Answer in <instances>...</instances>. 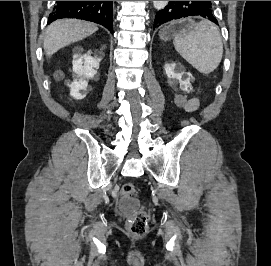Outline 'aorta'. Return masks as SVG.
I'll list each match as a JSON object with an SVG mask.
<instances>
[{
    "label": "aorta",
    "instance_id": "aorta-1",
    "mask_svg": "<svg viewBox=\"0 0 271 266\" xmlns=\"http://www.w3.org/2000/svg\"><path fill=\"white\" fill-rule=\"evenodd\" d=\"M169 1H153V5L157 10L164 9Z\"/></svg>",
    "mask_w": 271,
    "mask_h": 266
}]
</instances>
